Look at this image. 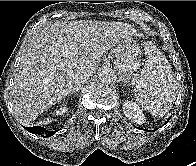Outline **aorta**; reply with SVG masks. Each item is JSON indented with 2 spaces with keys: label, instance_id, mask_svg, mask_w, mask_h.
I'll list each match as a JSON object with an SVG mask.
<instances>
[{
  "label": "aorta",
  "instance_id": "obj_1",
  "mask_svg": "<svg viewBox=\"0 0 196 166\" xmlns=\"http://www.w3.org/2000/svg\"><path fill=\"white\" fill-rule=\"evenodd\" d=\"M98 79L100 82L105 84L112 83L115 79V73L113 69L109 67H104L99 71Z\"/></svg>",
  "mask_w": 196,
  "mask_h": 166
}]
</instances>
